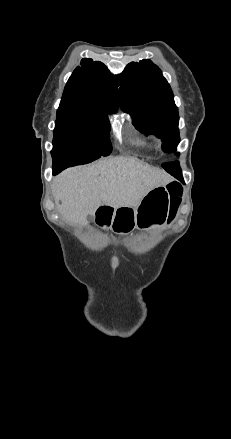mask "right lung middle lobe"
<instances>
[{
    "label": "right lung middle lobe",
    "instance_id": "1",
    "mask_svg": "<svg viewBox=\"0 0 231 439\" xmlns=\"http://www.w3.org/2000/svg\"><path fill=\"white\" fill-rule=\"evenodd\" d=\"M115 110H58L54 129L53 165L87 164L112 150L108 113Z\"/></svg>",
    "mask_w": 231,
    "mask_h": 439
}]
</instances>
